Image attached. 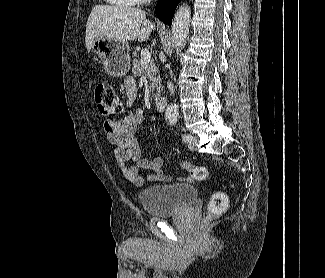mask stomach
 Listing matches in <instances>:
<instances>
[{"mask_svg": "<svg viewBox=\"0 0 325 278\" xmlns=\"http://www.w3.org/2000/svg\"><path fill=\"white\" fill-rule=\"evenodd\" d=\"M91 49L113 77H122L128 73L130 55L127 41L99 37L94 41Z\"/></svg>", "mask_w": 325, "mask_h": 278, "instance_id": "stomach-1", "label": "stomach"}]
</instances>
